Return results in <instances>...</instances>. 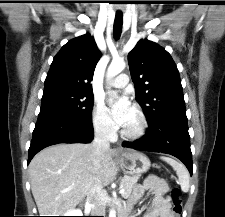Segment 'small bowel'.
<instances>
[{
    "mask_svg": "<svg viewBox=\"0 0 225 217\" xmlns=\"http://www.w3.org/2000/svg\"><path fill=\"white\" fill-rule=\"evenodd\" d=\"M166 183L155 175H149L142 184L137 185L132 197L128 201V207L132 208L144 194L152 195V202L147 209L146 217H176L172 211L170 202L164 197ZM133 217V216H129Z\"/></svg>",
    "mask_w": 225,
    "mask_h": 217,
    "instance_id": "obj_1",
    "label": "small bowel"
}]
</instances>
